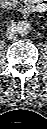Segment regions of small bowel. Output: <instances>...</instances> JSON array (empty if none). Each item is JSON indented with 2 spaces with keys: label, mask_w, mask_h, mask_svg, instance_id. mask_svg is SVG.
<instances>
[{
  "label": "small bowel",
  "mask_w": 47,
  "mask_h": 129,
  "mask_svg": "<svg viewBox=\"0 0 47 129\" xmlns=\"http://www.w3.org/2000/svg\"><path fill=\"white\" fill-rule=\"evenodd\" d=\"M16 0H2V4L4 6L13 5ZM26 4H30V6L35 7V12H42L46 10L47 4L44 0H26Z\"/></svg>",
  "instance_id": "small-bowel-1"
}]
</instances>
